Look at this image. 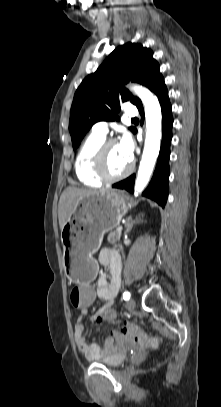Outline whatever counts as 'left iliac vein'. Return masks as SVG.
<instances>
[{
  "instance_id": "1",
  "label": "left iliac vein",
  "mask_w": 221,
  "mask_h": 407,
  "mask_svg": "<svg viewBox=\"0 0 221 407\" xmlns=\"http://www.w3.org/2000/svg\"><path fill=\"white\" fill-rule=\"evenodd\" d=\"M135 306H136V302L133 298L129 299L126 303V307L130 311L133 310L135 308Z\"/></svg>"
}]
</instances>
